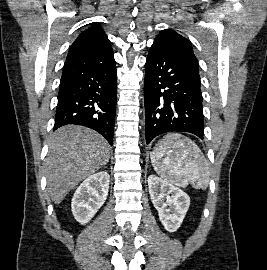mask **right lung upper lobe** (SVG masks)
Returning <instances> with one entry per match:
<instances>
[{"mask_svg":"<svg viewBox=\"0 0 267 270\" xmlns=\"http://www.w3.org/2000/svg\"><path fill=\"white\" fill-rule=\"evenodd\" d=\"M107 35L99 25H92L82 32L69 49L67 59L109 45Z\"/></svg>","mask_w":267,"mask_h":270,"instance_id":"right-lung-upper-lobe-1","label":"right lung upper lobe"}]
</instances>
